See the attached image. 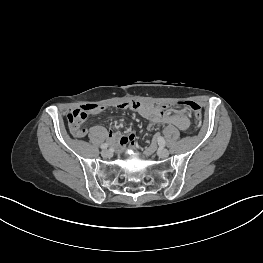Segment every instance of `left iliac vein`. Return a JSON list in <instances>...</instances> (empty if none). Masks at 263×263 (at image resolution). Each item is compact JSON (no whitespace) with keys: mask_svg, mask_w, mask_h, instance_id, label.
<instances>
[{"mask_svg":"<svg viewBox=\"0 0 263 263\" xmlns=\"http://www.w3.org/2000/svg\"><path fill=\"white\" fill-rule=\"evenodd\" d=\"M158 155L160 158H167L169 156V151L167 149H160Z\"/></svg>","mask_w":263,"mask_h":263,"instance_id":"left-iliac-vein-1","label":"left iliac vein"}]
</instances>
